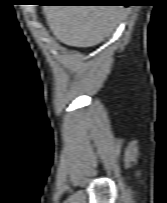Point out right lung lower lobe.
<instances>
[{
	"label": "right lung lower lobe",
	"instance_id": "obj_1",
	"mask_svg": "<svg viewBox=\"0 0 167 203\" xmlns=\"http://www.w3.org/2000/svg\"><path fill=\"white\" fill-rule=\"evenodd\" d=\"M96 1H106V2H100V3H103V4H110V5H117L119 3H116L118 0H96ZM125 5V4H124Z\"/></svg>",
	"mask_w": 167,
	"mask_h": 203
}]
</instances>
